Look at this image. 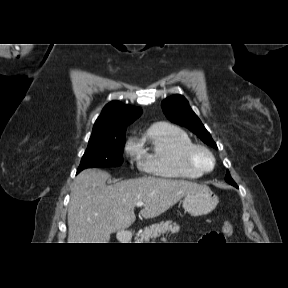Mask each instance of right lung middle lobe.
I'll return each instance as SVG.
<instances>
[{
    "instance_id": "1",
    "label": "right lung middle lobe",
    "mask_w": 288,
    "mask_h": 288,
    "mask_svg": "<svg viewBox=\"0 0 288 288\" xmlns=\"http://www.w3.org/2000/svg\"><path fill=\"white\" fill-rule=\"evenodd\" d=\"M125 133L90 140L77 173L91 167H113L123 163Z\"/></svg>"
}]
</instances>
